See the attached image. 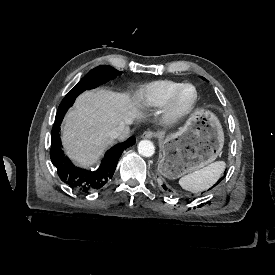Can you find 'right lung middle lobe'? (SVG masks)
<instances>
[{"label":"right lung middle lobe","instance_id":"dd1d6c3e","mask_svg":"<svg viewBox=\"0 0 275 275\" xmlns=\"http://www.w3.org/2000/svg\"><path fill=\"white\" fill-rule=\"evenodd\" d=\"M122 72L111 66L102 65L92 69L81 81L70 90V92L62 100V103L74 102L76 97L87 89H92L98 85L121 75Z\"/></svg>","mask_w":275,"mask_h":275}]
</instances>
